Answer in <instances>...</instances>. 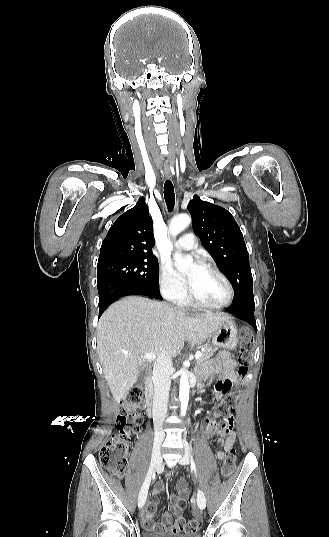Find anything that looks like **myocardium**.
<instances>
[{
  "label": "myocardium",
  "instance_id": "obj_1",
  "mask_svg": "<svg viewBox=\"0 0 329 537\" xmlns=\"http://www.w3.org/2000/svg\"><path fill=\"white\" fill-rule=\"evenodd\" d=\"M202 267L214 272L216 275H218L222 279V281L224 282V284L227 287L228 297H227L226 301H224L223 303L212 304V303L205 302V301L199 299L198 297H196L193 294L192 290L190 289L189 297H190L191 301L197 306H200V307H203V308H209V309H222V308H226V307L230 306L232 304L233 300H234L235 292H234V288H233L230 280L228 279V277L220 269H218L216 266H214L212 264L204 263V264H202Z\"/></svg>",
  "mask_w": 329,
  "mask_h": 537
}]
</instances>
